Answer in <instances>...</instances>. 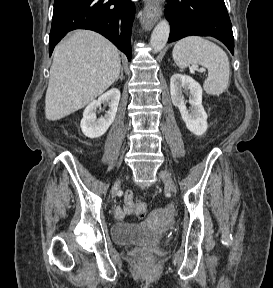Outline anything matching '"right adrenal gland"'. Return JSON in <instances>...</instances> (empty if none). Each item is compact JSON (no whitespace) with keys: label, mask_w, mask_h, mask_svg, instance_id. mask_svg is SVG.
<instances>
[{"label":"right adrenal gland","mask_w":273,"mask_h":288,"mask_svg":"<svg viewBox=\"0 0 273 288\" xmlns=\"http://www.w3.org/2000/svg\"><path fill=\"white\" fill-rule=\"evenodd\" d=\"M118 79H121V80L124 79V76H123V67L121 68L120 76L116 79V81H117Z\"/></svg>","instance_id":"1"}]
</instances>
